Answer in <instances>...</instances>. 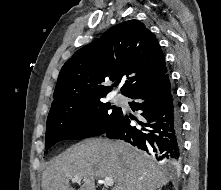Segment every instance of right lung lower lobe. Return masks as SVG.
Segmentation results:
<instances>
[{
    "instance_id": "98d812e1",
    "label": "right lung lower lobe",
    "mask_w": 221,
    "mask_h": 190,
    "mask_svg": "<svg viewBox=\"0 0 221 190\" xmlns=\"http://www.w3.org/2000/svg\"><path fill=\"white\" fill-rule=\"evenodd\" d=\"M127 97L136 100L129 105L133 111H140L139 119L122 112L104 134L137 146L165 165L177 167L182 153L181 121L169 74ZM133 119L138 126L131 125Z\"/></svg>"
}]
</instances>
